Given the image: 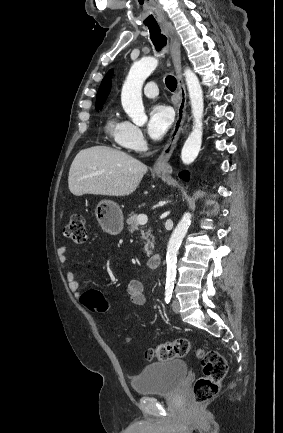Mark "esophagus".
Here are the masks:
<instances>
[{
	"label": "esophagus",
	"mask_w": 283,
	"mask_h": 433,
	"mask_svg": "<svg viewBox=\"0 0 283 433\" xmlns=\"http://www.w3.org/2000/svg\"><path fill=\"white\" fill-rule=\"evenodd\" d=\"M162 27L170 38V53L175 68L178 89L180 93V102L177 108L176 120L174 122L170 138L153 166L154 172L167 174L172 172V167L169 165V158L176 147L186 119L187 94L182 75L180 38L171 22L163 23Z\"/></svg>",
	"instance_id": "esophagus-1"
}]
</instances>
